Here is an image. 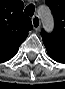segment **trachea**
Wrapping results in <instances>:
<instances>
[{
	"mask_svg": "<svg viewBox=\"0 0 65 89\" xmlns=\"http://www.w3.org/2000/svg\"><path fill=\"white\" fill-rule=\"evenodd\" d=\"M25 14L27 16H33L34 12H35V7L33 4L28 5L25 10H24Z\"/></svg>",
	"mask_w": 65,
	"mask_h": 89,
	"instance_id": "trachea-1",
	"label": "trachea"
}]
</instances>
